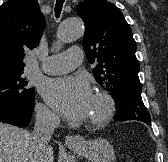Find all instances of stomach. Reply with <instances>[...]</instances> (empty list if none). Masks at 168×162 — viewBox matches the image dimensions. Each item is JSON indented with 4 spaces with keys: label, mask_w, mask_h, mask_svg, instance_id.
Here are the masks:
<instances>
[{
    "label": "stomach",
    "mask_w": 168,
    "mask_h": 162,
    "mask_svg": "<svg viewBox=\"0 0 168 162\" xmlns=\"http://www.w3.org/2000/svg\"><path fill=\"white\" fill-rule=\"evenodd\" d=\"M69 148L91 162H112L115 159L113 146L103 138L84 141L81 147L69 146Z\"/></svg>",
    "instance_id": "stomach-1"
}]
</instances>
